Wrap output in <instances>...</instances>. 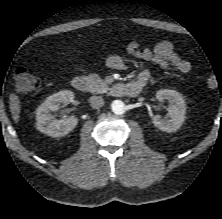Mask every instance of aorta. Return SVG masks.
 Instances as JSON below:
<instances>
[{
  "instance_id": "1",
  "label": "aorta",
  "mask_w": 222,
  "mask_h": 219,
  "mask_svg": "<svg viewBox=\"0 0 222 219\" xmlns=\"http://www.w3.org/2000/svg\"><path fill=\"white\" fill-rule=\"evenodd\" d=\"M111 109L115 114L121 115L125 112V104L121 100H115L112 102Z\"/></svg>"
}]
</instances>
